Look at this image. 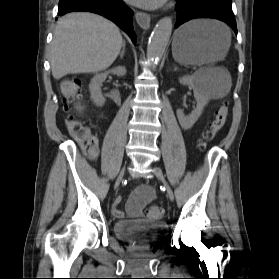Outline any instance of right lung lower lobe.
<instances>
[{"label": "right lung lower lobe", "mask_w": 279, "mask_h": 279, "mask_svg": "<svg viewBox=\"0 0 279 279\" xmlns=\"http://www.w3.org/2000/svg\"><path fill=\"white\" fill-rule=\"evenodd\" d=\"M89 11L100 14L121 27L136 42L133 31V12L122 0H60L58 14Z\"/></svg>", "instance_id": "1"}]
</instances>
